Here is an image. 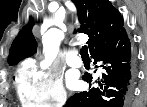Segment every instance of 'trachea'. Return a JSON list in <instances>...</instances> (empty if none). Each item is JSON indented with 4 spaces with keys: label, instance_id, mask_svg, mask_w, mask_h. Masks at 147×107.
<instances>
[{
    "label": "trachea",
    "instance_id": "1",
    "mask_svg": "<svg viewBox=\"0 0 147 107\" xmlns=\"http://www.w3.org/2000/svg\"><path fill=\"white\" fill-rule=\"evenodd\" d=\"M80 54L82 57H88V48L86 45L82 46Z\"/></svg>",
    "mask_w": 147,
    "mask_h": 107
}]
</instances>
